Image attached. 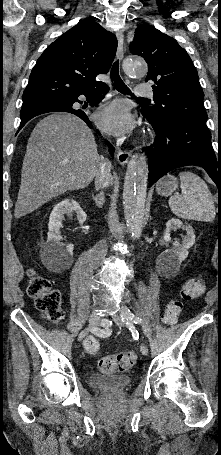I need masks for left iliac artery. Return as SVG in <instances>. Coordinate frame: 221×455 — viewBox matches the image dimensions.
Listing matches in <instances>:
<instances>
[{
	"instance_id": "1",
	"label": "left iliac artery",
	"mask_w": 221,
	"mask_h": 455,
	"mask_svg": "<svg viewBox=\"0 0 221 455\" xmlns=\"http://www.w3.org/2000/svg\"><path fill=\"white\" fill-rule=\"evenodd\" d=\"M121 317L122 321L128 324L130 321L134 323H141V319L139 317L134 316L131 311L127 307H123L121 310Z\"/></svg>"
}]
</instances>
